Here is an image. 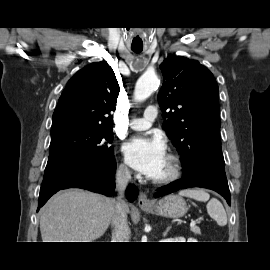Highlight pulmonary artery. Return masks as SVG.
<instances>
[{
  "mask_svg": "<svg viewBox=\"0 0 270 270\" xmlns=\"http://www.w3.org/2000/svg\"><path fill=\"white\" fill-rule=\"evenodd\" d=\"M157 116V108L155 106H149L144 112V117L132 119L129 126L134 130H146L151 127L152 122Z\"/></svg>",
  "mask_w": 270,
  "mask_h": 270,
  "instance_id": "obj_1",
  "label": "pulmonary artery"
}]
</instances>
